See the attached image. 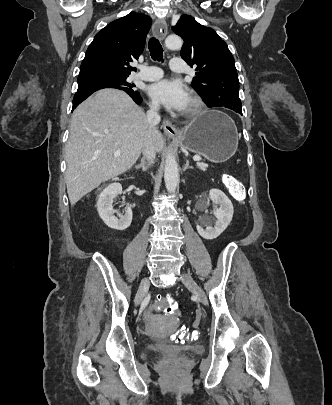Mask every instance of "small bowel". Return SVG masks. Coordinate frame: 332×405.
<instances>
[{
  "label": "small bowel",
  "instance_id": "obj_1",
  "mask_svg": "<svg viewBox=\"0 0 332 405\" xmlns=\"http://www.w3.org/2000/svg\"><path fill=\"white\" fill-rule=\"evenodd\" d=\"M163 295H168V290H163Z\"/></svg>",
  "mask_w": 332,
  "mask_h": 405
}]
</instances>
